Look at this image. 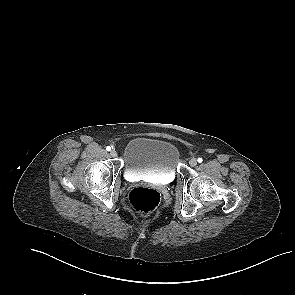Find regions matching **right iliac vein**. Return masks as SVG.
<instances>
[{"instance_id": "obj_1", "label": "right iliac vein", "mask_w": 295, "mask_h": 295, "mask_svg": "<svg viewBox=\"0 0 295 295\" xmlns=\"http://www.w3.org/2000/svg\"><path fill=\"white\" fill-rule=\"evenodd\" d=\"M111 157H116L117 156V151L116 150H111L110 152Z\"/></svg>"}]
</instances>
